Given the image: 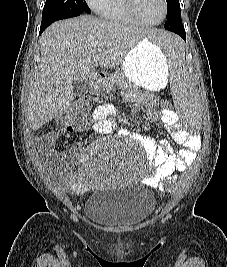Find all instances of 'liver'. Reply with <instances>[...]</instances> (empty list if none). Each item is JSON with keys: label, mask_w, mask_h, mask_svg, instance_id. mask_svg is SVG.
Instances as JSON below:
<instances>
[{"label": "liver", "mask_w": 227, "mask_h": 267, "mask_svg": "<svg viewBox=\"0 0 227 267\" xmlns=\"http://www.w3.org/2000/svg\"><path fill=\"white\" fill-rule=\"evenodd\" d=\"M154 33L167 32L90 15L53 23L39 41L41 61L28 95L30 128L38 130L69 109L75 98V81H90L95 75L94 63L113 69L139 41Z\"/></svg>", "instance_id": "liver-1"}]
</instances>
